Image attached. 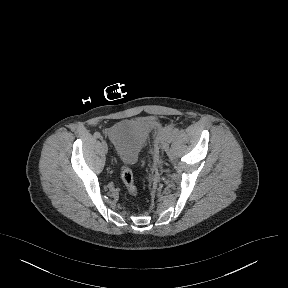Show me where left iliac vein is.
I'll return each mask as SVG.
<instances>
[{
    "instance_id": "left-iliac-vein-1",
    "label": "left iliac vein",
    "mask_w": 288,
    "mask_h": 288,
    "mask_svg": "<svg viewBox=\"0 0 288 288\" xmlns=\"http://www.w3.org/2000/svg\"><path fill=\"white\" fill-rule=\"evenodd\" d=\"M167 146H168V141L166 139H164L161 143V147H162V149H166Z\"/></svg>"
}]
</instances>
